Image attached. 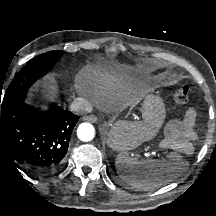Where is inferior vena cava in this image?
Listing matches in <instances>:
<instances>
[{
    "mask_svg": "<svg viewBox=\"0 0 216 216\" xmlns=\"http://www.w3.org/2000/svg\"><path fill=\"white\" fill-rule=\"evenodd\" d=\"M71 111L77 115H83L92 111V105L83 98H75L71 103Z\"/></svg>",
    "mask_w": 216,
    "mask_h": 216,
    "instance_id": "602c4592",
    "label": "inferior vena cava"
}]
</instances>
